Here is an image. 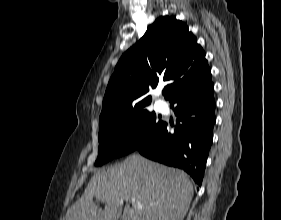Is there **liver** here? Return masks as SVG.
<instances>
[{
  "mask_svg": "<svg viewBox=\"0 0 281 220\" xmlns=\"http://www.w3.org/2000/svg\"><path fill=\"white\" fill-rule=\"evenodd\" d=\"M193 193L183 171L133 154L95 173L65 219L119 220L125 200L122 220H183ZM94 197L105 203L104 209L94 203Z\"/></svg>",
  "mask_w": 281,
  "mask_h": 220,
  "instance_id": "6515ba94",
  "label": "liver"
}]
</instances>
